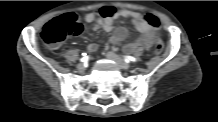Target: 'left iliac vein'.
<instances>
[{
	"label": "left iliac vein",
	"instance_id": "obj_1",
	"mask_svg": "<svg viewBox=\"0 0 218 122\" xmlns=\"http://www.w3.org/2000/svg\"><path fill=\"white\" fill-rule=\"evenodd\" d=\"M106 57L110 60H112L113 62H115L119 68L123 69V70H128L130 68V65L128 63H126L122 58H120L118 55H116L113 52H107Z\"/></svg>",
	"mask_w": 218,
	"mask_h": 122
}]
</instances>
